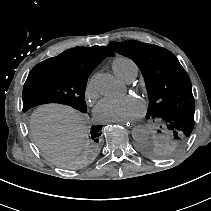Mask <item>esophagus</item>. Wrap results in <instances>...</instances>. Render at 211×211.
<instances>
[{"mask_svg": "<svg viewBox=\"0 0 211 211\" xmlns=\"http://www.w3.org/2000/svg\"><path fill=\"white\" fill-rule=\"evenodd\" d=\"M112 123H121V125L124 127V128H128V129H131L133 127V124L132 122H128V120L124 119V120H112L111 121Z\"/></svg>", "mask_w": 211, "mask_h": 211, "instance_id": "esophagus-1", "label": "esophagus"}]
</instances>
